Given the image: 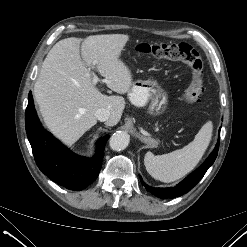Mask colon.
<instances>
[{"mask_svg": "<svg viewBox=\"0 0 247 247\" xmlns=\"http://www.w3.org/2000/svg\"><path fill=\"white\" fill-rule=\"evenodd\" d=\"M136 51L155 58L179 60L186 63L192 70V79L189 87L184 92L182 100L186 104L199 101L203 93L202 69L203 64L199 53L189 44H151L141 43L136 46Z\"/></svg>", "mask_w": 247, "mask_h": 247, "instance_id": "1", "label": "colon"}]
</instances>
